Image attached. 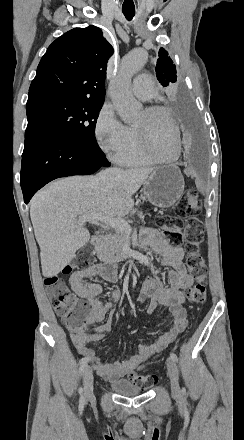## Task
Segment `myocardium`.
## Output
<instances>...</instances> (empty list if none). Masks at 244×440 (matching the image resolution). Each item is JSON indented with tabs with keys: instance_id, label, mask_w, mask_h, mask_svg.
<instances>
[{
	"instance_id": "obj_1",
	"label": "myocardium",
	"mask_w": 244,
	"mask_h": 440,
	"mask_svg": "<svg viewBox=\"0 0 244 440\" xmlns=\"http://www.w3.org/2000/svg\"><path fill=\"white\" fill-rule=\"evenodd\" d=\"M165 107L163 106H159V105H153V106H149L146 107L144 112L145 113H154V112H161V111H165ZM171 110H166L165 114L167 115L168 118V123H169V127H172L171 130H169L170 133H173L174 135V142H173V151H172V155L170 158H163L161 155H159V157H157L158 155L155 153L154 149H149V154H152L154 160L157 161V163L161 164V165H172L173 163H175L179 157V148H180V139H179V133L176 129V126L174 125V120H173V114H171ZM137 131L140 132V145L142 147L146 146V136L148 134V130L146 128H138V127H134ZM145 136V137H144Z\"/></svg>"
}]
</instances>
